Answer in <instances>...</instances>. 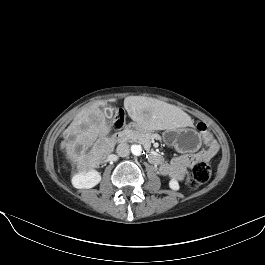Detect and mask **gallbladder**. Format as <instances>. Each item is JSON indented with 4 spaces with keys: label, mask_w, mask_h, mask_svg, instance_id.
I'll return each mask as SVG.
<instances>
[{
    "label": "gallbladder",
    "mask_w": 265,
    "mask_h": 265,
    "mask_svg": "<svg viewBox=\"0 0 265 265\" xmlns=\"http://www.w3.org/2000/svg\"><path fill=\"white\" fill-rule=\"evenodd\" d=\"M105 115L108 118H112V116H113V110L110 107L109 108H106Z\"/></svg>",
    "instance_id": "1"
}]
</instances>
